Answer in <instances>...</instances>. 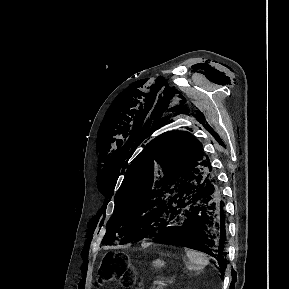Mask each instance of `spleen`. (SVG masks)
Wrapping results in <instances>:
<instances>
[{"label": "spleen", "mask_w": 289, "mask_h": 289, "mask_svg": "<svg viewBox=\"0 0 289 289\" xmlns=\"http://www.w3.org/2000/svg\"><path fill=\"white\" fill-rule=\"evenodd\" d=\"M185 252L188 258L186 263L188 269L198 272L208 265L209 260L205 254L188 248H185Z\"/></svg>", "instance_id": "1"}]
</instances>
